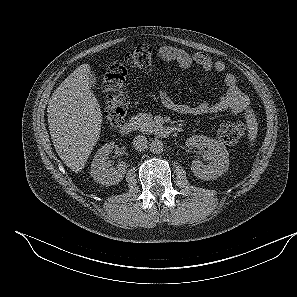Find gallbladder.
Returning a JSON list of instances; mask_svg holds the SVG:
<instances>
[{
	"label": "gallbladder",
	"mask_w": 297,
	"mask_h": 297,
	"mask_svg": "<svg viewBox=\"0 0 297 297\" xmlns=\"http://www.w3.org/2000/svg\"><path fill=\"white\" fill-rule=\"evenodd\" d=\"M88 83H89L90 87L94 86L96 83V77H95L94 72H92V71H90V73L88 75Z\"/></svg>",
	"instance_id": "bac80fb5"
}]
</instances>
